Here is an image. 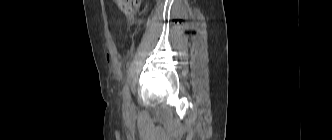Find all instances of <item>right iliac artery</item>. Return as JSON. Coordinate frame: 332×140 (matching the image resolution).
<instances>
[{"mask_svg":"<svg viewBox=\"0 0 332 140\" xmlns=\"http://www.w3.org/2000/svg\"><path fill=\"white\" fill-rule=\"evenodd\" d=\"M124 102H123V108L124 110H128L129 104H130V94H129V88L128 85H125L124 89Z\"/></svg>","mask_w":332,"mask_h":140,"instance_id":"82829eb1","label":"right iliac artery"}]
</instances>
